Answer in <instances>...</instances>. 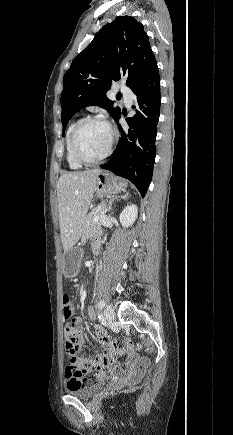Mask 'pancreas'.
Here are the masks:
<instances>
[{
  "instance_id": "1",
  "label": "pancreas",
  "mask_w": 233,
  "mask_h": 435,
  "mask_svg": "<svg viewBox=\"0 0 233 435\" xmlns=\"http://www.w3.org/2000/svg\"><path fill=\"white\" fill-rule=\"evenodd\" d=\"M105 208V205H101L97 209L90 212L84 220L82 228V239L87 240L96 235L102 234L101 221L93 222L92 220L97 217Z\"/></svg>"
}]
</instances>
